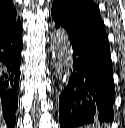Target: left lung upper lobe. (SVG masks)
<instances>
[{
	"mask_svg": "<svg viewBox=\"0 0 125 128\" xmlns=\"http://www.w3.org/2000/svg\"><path fill=\"white\" fill-rule=\"evenodd\" d=\"M55 25L108 42L99 10L92 0H53Z\"/></svg>",
	"mask_w": 125,
	"mask_h": 128,
	"instance_id": "left-lung-upper-lobe-1",
	"label": "left lung upper lobe"
}]
</instances>
